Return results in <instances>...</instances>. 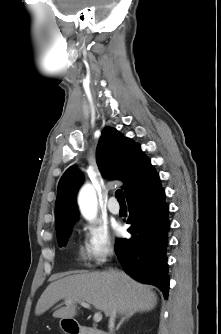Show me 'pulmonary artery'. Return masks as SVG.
Listing matches in <instances>:
<instances>
[{
	"mask_svg": "<svg viewBox=\"0 0 221 334\" xmlns=\"http://www.w3.org/2000/svg\"><path fill=\"white\" fill-rule=\"evenodd\" d=\"M108 209L112 214H119L120 206L118 205L116 199L111 197L108 201Z\"/></svg>",
	"mask_w": 221,
	"mask_h": 334,
	"instance_id": "e3ab8cb5",
	"label": "pulmonary artery"
}]
</instances>
